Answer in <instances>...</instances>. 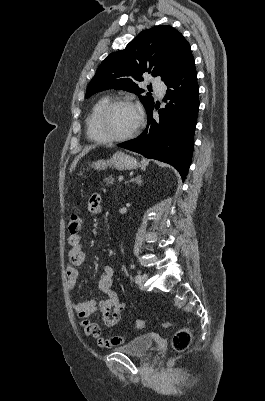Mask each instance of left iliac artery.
I'll use <instances>...</instances> for the list:
<instances>
[{"label":"left iliac artery","instance_id":"44dca946","mask_svg":"<svg viewBox=\"0 0 265 401\" xmlns=\"http://www.w3.org/2000/svg\"><path fill=\"white\" fill-rule=\"evenodd\" d=\"M135 282H136V283H139V282H140L139 275H137V276L135 277Z\"/></svg>","mask_w":265,"mask_h":401}]
</instances>
